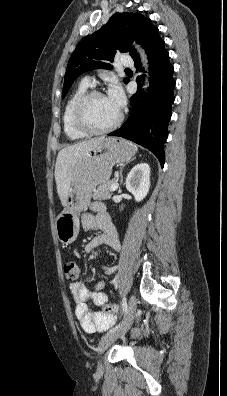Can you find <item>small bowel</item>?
<instances>
[{
    "label": "small bowel",
    "instance_id": "obj_1",
    "mask_svg": "<svg viewBox=\"0 0 227 396\" xmlns=\"http://www.w3.org/2000/svg\"><path fill=\"white\" fill-rule=\"evenodd\" d=\"M95 208L97 210L96 214L83 215L82 226L85 230H100L101 234L94 236L87 242L85 251L90 253L102 245L113 250H119L120 240L116 227L104 210L98 206ZM103 270L105 275H111L115 271V267L104 266ZM70 292L75 302L76 318L85 332H102L116 323L117 316L115 313L92 311L89 307V303L104 306L109 300L107 293L102 291L101 282L91 285L85 281H76L70 284ZM138 334L139 330H136L134 335Z\"/></svg>",
    "mask_w": 227,
    "mask_h": 396
}]
</instances>
